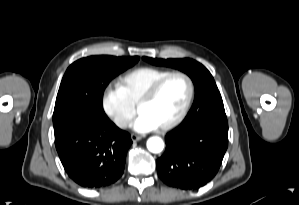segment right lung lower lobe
I'll return each instance as SVG.
<instances>
[{"mask_svg":"<svg viewBox=\"0 0 299 205\" xmlns=\"http://www.w3.org/2000/svg\"><path fill=\"white\" fill-rule=\"evenodd\" d=\"M130 135L108 117L85 115L55 132L61 163L77 184L101 188L115 183L123 174Z\"/></svg>","mask_w":299,"mask_h":205,"instance_id":"right-lung-lower-lobe-1","label":"right lung lower lobe"}]
</instances>
